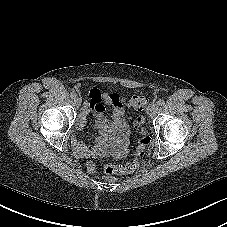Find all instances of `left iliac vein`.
Here are the masks:
<instances>
[{"mask_svg":"<svg viewBox=\"0 0 227 227\" xmlns=\"http://www.w3.org/2000/svg\"><path fill=\"white\" fill-rule=\"evenodd\" d=\"M157 110H158V104L156 103L152 104L149 108V113H148L149 117H153L156 114Z\"/></svg>","mask_w":227,"mask_h":227,"instance_id":"4c4485c4","label":"left iliac vein"}]
</instances>
